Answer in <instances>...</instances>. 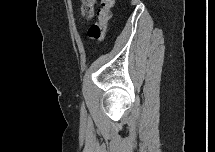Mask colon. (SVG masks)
Returning a JSON list of instances; mask_svg holds the SVG:
<instances>
[{
    "label": "colon",
    "instance_id": "obj_1",
    "mask_svg": "<svg viewBox=\"0 0 215 152\" xmlns=\"http://www.w3.org/2000/svg\"><path fill=\"white\" fill-rule=\"evenodd\" d=\"M94 0H82L80 12L82 17L89 19L93 15ZM113 0H101L100 7L97 11L98 21L88 30V36L93 41H101L104 39L108 21L111 17V8Z\"/></svg>",
    "mask_w": 215,
    "mask_h": 152
}]
</instances>
